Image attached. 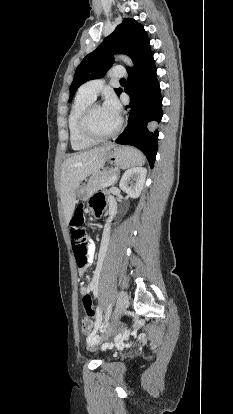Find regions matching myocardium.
<instances>
[{
	"label": "myocardium",
	"mask_w": 233,
	"mask_h": 414,
	"mask_svg": "<svg viewBox=\"0 0 233 414\" xmlns=\"http://www.w3.org/2000/svg\"><path fill=\"white\" fill-rule=\"evenodd\" d=\"M99 106H101V104L95 101H92L90 104H88L84 108V110L81 112L79 119H78V124H77L80 135L84 139L94 142V143L103 142V141L113 138L114 136L118 134V132L120 131L122 127V119L119 117L115 128L110 133L106 135L95 134L89 126V119H90V116L93 110Z\"/></svg>",
	"instance_id": "obj_1"
}]
</instances>
